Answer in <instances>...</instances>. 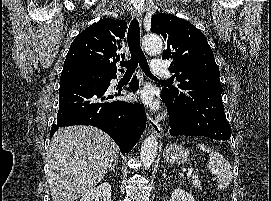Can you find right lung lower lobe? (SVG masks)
Instances as JSON below:
<instances>
[{
  "label": "right lung lower lobe",
  "mask_w": 271,
  "mask_h": 201,
  "mask_svg": "<svg viewBox=\"0 0 271 201\" xmlns=\"http://www.w3.org/2000/svg\"><path fill=\"white\" fill-rule=\"evenodd\" d=\"M116 73H105L82 63L64 65L59 90L57 122L52 137L59 127L71 125L95 126L110 135L123 153H128L146 127V114L137 103L114 100L121 91L110 93L108 87ZM138 90L135 79L130 83Z\"/></svg>",
  "instance_id": "98d812e1"
}]
</instances>
